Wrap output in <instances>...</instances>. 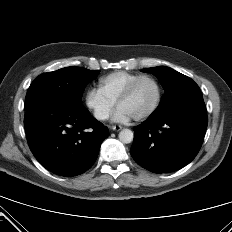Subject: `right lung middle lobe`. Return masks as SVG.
I'll list each match as a JSON object with an SVG mask.
<instances>
[{"mask_svg": "<svg viewBox=\"0 0 232 232\" xmlns=\"http://www.w3.org/2000/svg\"><path fill=\"white\" fill-rule=\"evenodd\" d=\"M99 71L82 67H66L39 75L30 85L25 108L38 102L81 104L82 94L87 83Z\"/></svg>", "mask_w": 232, "mask_h": 232, "instance_id": "obj_1", "label": "right lung middle lobe"}]
</instances>
